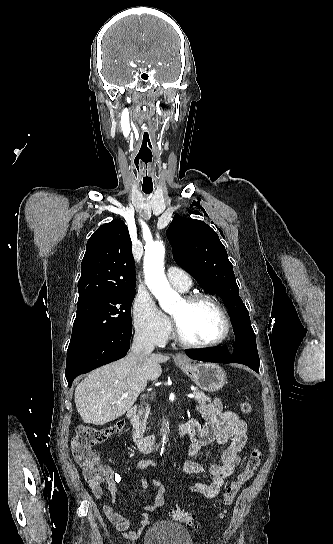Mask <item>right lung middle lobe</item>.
Segmentation results:
<instances>
[{"label":"right lung middle lobe","instance_id":"obj_1","mask_svg":"<svg viewBox=\"0 0 333 544\" xmlns=\"http://www.w3.org/2000/svg\"><path fill=\"white\" fill-rule=\"evenodd\" d=\"M135 290L110 291L78 301L67 356L96 341L131 328V304Z\"/></svg>","mask_w":333,"mask_h":544}]
</instances>
